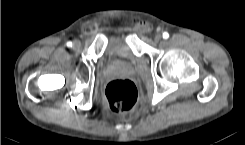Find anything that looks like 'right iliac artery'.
<instances>
[{
    "instance_id": "1",
    "label": "right iliac artery",
    "mask_w": 245,
    "mask_h": 145,
    "mask_svg": "<svg viewBox=\"0 0 245 145\" xmlns=\"http://www.w3.org/2000/svg\"><path fill=\"white\" fill-rule=\"evenodd\" d=\"M67 46L72 47V42L71 41L67 42Z\"/></svg>"
}]
</instances>
